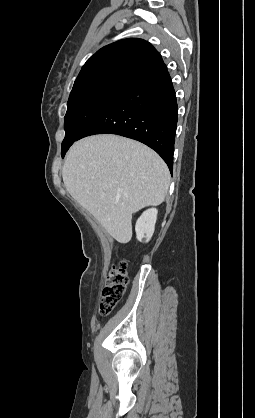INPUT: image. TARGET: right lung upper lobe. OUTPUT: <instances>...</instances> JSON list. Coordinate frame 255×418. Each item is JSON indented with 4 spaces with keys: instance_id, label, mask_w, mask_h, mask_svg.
<instances>
[{
    "instance_id": "cb5924a9",
    "label": "right lung upper lobe",
    "mask_w": 255,
    "mask_h": 418,
    "mask_svg": "<svg viewBox=\"0 0 255 418\" xmlns=\"http://www.w3.org/2000/svg\"><path fill=\"white\" fill-rule=\"evenodd\" d=\"M166 69L161 55L149 42L138 38L119 40L87 60L73 88L93 82L129 86Z\"/></svg>"
}]
</instances>
